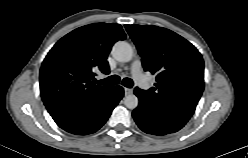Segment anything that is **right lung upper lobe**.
<instances>
[{
    "mask_svg": "<svg viewBox=\"0 0 248 158\" xmlns=\"http://www.w3.org/2000/svg\"><path fill=\"white\" fill-rule=\"evenodd\" d=\"M126 38L119 24L95 23L61 38L47 54L40 70V94L56 116L85 107L110 87L95 85L94 70L109 73L112 45Z\"/></svg>",
    "mask_w": 248,
    "mask_h": 158,
    "instance_id": "1",
    "label": "right lung upper lobe"
}]
</instances>
